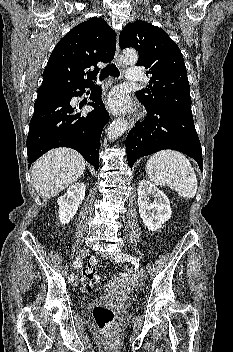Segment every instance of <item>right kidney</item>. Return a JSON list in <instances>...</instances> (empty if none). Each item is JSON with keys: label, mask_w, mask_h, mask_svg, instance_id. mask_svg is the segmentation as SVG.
Here are the masks:
<instances>
[{"label": "right kidney", "mask_w": 233, "mask_h": 352, "mask_svg": "<svg viewBox=\"0 0 233 352\" xmlns=\"http://www.w3.org/2000/svg\"><path fill=\"white\" fill-rule=\"evenodd\" d=\"M84 183H75L68 188L66 193L58 198L59 220L62 224H67L75 216L78 207L85 196Z\"/></svg>", "instance_id": "obj_1"}]
</instances>
